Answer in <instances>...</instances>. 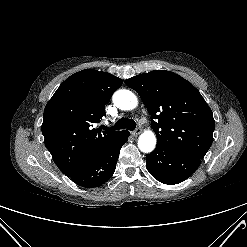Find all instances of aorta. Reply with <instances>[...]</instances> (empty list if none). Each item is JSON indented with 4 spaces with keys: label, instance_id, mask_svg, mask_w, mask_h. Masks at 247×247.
Returning a JSON list of instances; mask_svg holds the SVG:
<instances>
[{
    "label": "aorta",
    "instance_id": "762f6f07",
    "mask_svg": "<svg viewBox=\"0 0 247 247\" xmlns=\"http://www.w3.org/2000/svg\"><path fill=\"white\" fill-rule=\"evenodd\" d=\"M114 105L121 110H133L138 105L136 95L125 89L118 90L113 95ZM156 146V136L150 131H144L138 139V147L144 153H150Z\"/></svg>",
    "mask_w": 247,
    "mask_h": 247
}]
</instances>
